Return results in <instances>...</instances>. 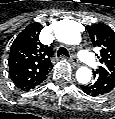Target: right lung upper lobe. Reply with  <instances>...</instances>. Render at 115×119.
Returning <instances> with one entry per match:
<instances>
[{
  "label": "right lung upper lobe",
  "instance_id": "right-lung-upper-lobe-1",
  "mask_svg": "<svg viewBox=\"0 0 115 119\" xmlns=\"http://www.w3.org/2000/svg\"><path fill=\"white\" fill-rule=\"evenodd\" d=\"M41 29L39 23L28 25L11 45L9 74L19 88L29 89L40 84L52 69L53 51L39 41Z\"/></svg>",
  "mask_w": 115,
  "mask_h": 119
}]
</instances>
